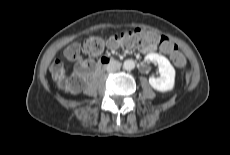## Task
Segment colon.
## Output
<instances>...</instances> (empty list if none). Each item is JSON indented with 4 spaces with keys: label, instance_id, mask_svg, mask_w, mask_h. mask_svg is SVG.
Segmentation results:
<instances>
[{
    "label": "colon",
    "instance_id": "colon-1",
    "mask_svg": "<svg viewBox=\"0 0 230 155\" xmlns=\"http://www.w3.org/2000/svg\"><path fill=\"white\" fill-rule=\"evenodd\" d=\"M158 44L162 51L171 55L173 61L177 64V70L183 72L187 68V62L178 52L177 45L167 36L157 35L142 29H136L121 34L119 37L113 36L104 41L101 38H88L83 44V51L89 57L86 61L80 62L76 72L71 76H66V70L60 60H55L50 66V73L57 85L70 92H75L82 88L87 76L94 69V61L91 59L103 52L105 47H124L134 46L146 47ZM65 56L71 61H79L81 57V48L78 44H71L65 51Z\"/></svg>",
    "mask_w": 230,
    "mask_h": 155
}]
</instances>
